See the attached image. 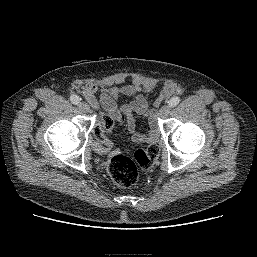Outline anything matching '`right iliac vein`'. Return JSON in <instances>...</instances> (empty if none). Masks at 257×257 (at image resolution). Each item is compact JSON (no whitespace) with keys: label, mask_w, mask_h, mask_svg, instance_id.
<instances>
[{"label":"right iliac vein","mask_w":257,"mask_h":257,"mask_svg":"<svg viewBox=\"0 0 257 257\" xmlns=\"http://www.w3.org/2000/svg\"><path fill=\"white\" fill-rule=\"evenodd\" d=\"M78 107L84 113H88L90 111L89 105L87 103H85V102H80L78 104Z\"/></svg>","instance_id":"1"}]
</instances>
